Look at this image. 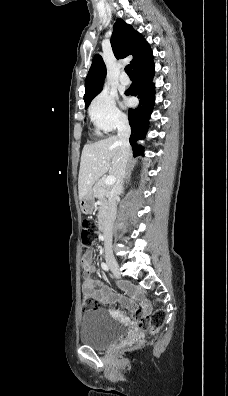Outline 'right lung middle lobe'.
Returning <instances> with one entry per match:
<instances>
[{"mask_svg":"<svg viewBox=\"0 0 228 396\" xmlns=\"http://www.w3.org/2000/svg\"><path fill=\"white\" fill-rule=\"evenodd\" d=\"M97 94H98V93H97ZM97 94H96V95H97ZM96 95H95V96H96ZM95 96H94V97H95ZM94 97H93V98H94ZM93 98H92V99H93ZM92 99H91V100H92ZM91 100H90L88 103H85V107H86V108L89 106Z\"/></svg>","mask_w":228,"mask_h":396,"instance_id":"obj_1","label":"right lung middle lobe"}]
</instances>
